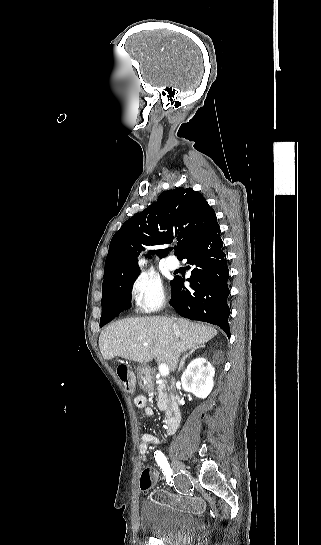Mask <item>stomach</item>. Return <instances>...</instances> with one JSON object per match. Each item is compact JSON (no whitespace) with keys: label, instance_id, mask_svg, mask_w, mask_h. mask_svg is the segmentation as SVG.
Segmentation results:
<instances>
[{"label":"stomach","instance_id":"1","mask_svg":"<svg viewBox=\"0 0 321 545\" xmlns=\"http://www.w3.org/2000/svg\"><path fill=\"white\" fill-rule=\"evenodd\" d=\"M146 369H148L146 363H138L136 367L138 377H144Z\"/></svg>","mask_w":321,"mask_h":545}]
</instances>
